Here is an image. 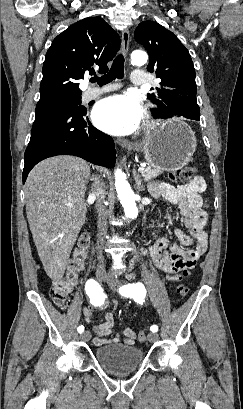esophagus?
I'll return each instance as SVG.
<instances>
[{"label":"esophagus","mask_w":243,"mask_h":409,"mask_svg":"<svg viewBox=\"0 0 243 409\" xmlns=\"http://www.w3.org/2000/svg\"><path fill=\"white\" fill-rule=\"evenodd\" d=\"M129 43H130V33L129 30L126 28L122 31V38H121V46L123 54L126 56L129 50ZM116 143L120 145L122 148L125 149H133L136 147V143H133L127 139L118 138Z\"/></svg>","instance_id":"1"}]
</instances>
